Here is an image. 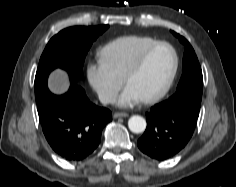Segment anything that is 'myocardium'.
<instances>
[{"instance_id": "1", "label": "myocardium", "mask_w": 236, "mask_h": 187, "mask_svg": "<svg viewBox=\"0 0 236 187\" xmlns=\"http://www.w3.org/2000/svg\"><path fill=\"white\" fill-rule=\"evenodd\" d=\"M167 47L171 50L172 54H173V66L170 72V75L165 83V85L155 94L148 96L146 98L140 99V101L144 104H150V103H155L157 101H159L160 99H162L171 89L174 80L176 78L177 72H178V67H179V55L177 53V50L175 49V47L166 42V41H157L153 44H151L150 46H148L147 48H145L139 55L138 57L135 59V61L133 62V64L130 66V68L127 70V72L125 73L124 77H123V83L127 86L129 80L135 76L142 68V66L144 65L146 59L148 58V56L157 48L159 47Z\"/></svg>"}]
</instances>
